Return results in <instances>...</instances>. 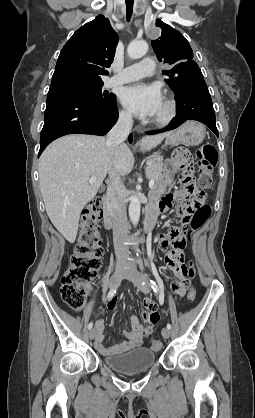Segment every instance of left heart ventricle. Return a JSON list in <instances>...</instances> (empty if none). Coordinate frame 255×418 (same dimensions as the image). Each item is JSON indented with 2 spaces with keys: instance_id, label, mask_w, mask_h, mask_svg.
Returning <instances> with one entry per match:
<instances>
[{
  "instance_id": "b2bd125f",
  "label": "left heart ventricle",
  "mask_w": 255,
  "mask_h": 418,
  "mask_svg": "<svg viewBox=\"0 0 255 418\" xmlns=\"http://www.w3.org/2000/svg\"><path fill=\"white\" fill-rule=\"evenodd\" d=\"M163 110H164V104H162V106H161L160 110L158 111L157 115L160 114V113H162Z\"/></svg>"
}]
</instances>
